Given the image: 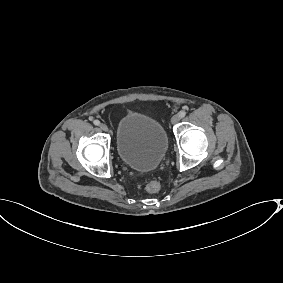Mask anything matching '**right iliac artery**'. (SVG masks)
<instances>
[{"label":"right iliac artery","instance_id":"82829eb1","mask_svg":"<svg viewBox=\"0 0 283 283\" xmlns=\"http://www.w3.org/2000/svg\"><path fill=\"white\" fill-rule=\"evenodd\" d=\"M93 123H94V125H97V126L100 125V121L99 120H94Z\"/></svg>","mask_w":283,"mask_h":283}]
</instances>
